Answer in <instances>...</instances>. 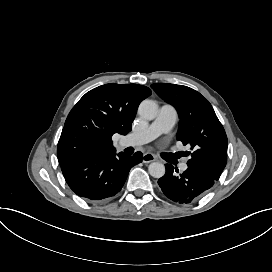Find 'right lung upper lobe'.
Here are the masks:
<instances>
[{
	"instance_id": "1",
	"label": "right lung upper lobe",
	"mask_w": 272,
	"mask_h": 272,
	"mask_svg": "<svg viewBox=\"0 0 272 272\" xmlns=\"http://www.w3.org/2000/svg\"><path fill=\"white\" fill-rule=\"evenodd\" d=\"M151 90L138 84H105L87 92L70 111L57 155L60 165L115 151L111 137L131 130L137 108Z\"/></svg>"
}]
</instances>
